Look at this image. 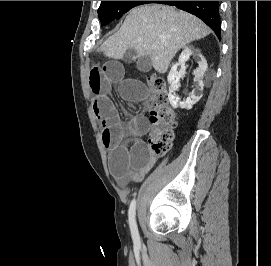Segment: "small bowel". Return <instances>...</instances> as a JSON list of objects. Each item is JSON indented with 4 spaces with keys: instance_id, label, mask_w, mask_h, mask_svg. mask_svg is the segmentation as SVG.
<instances>
[{
    "instance_id": "1",
    "label": "small bowel",
    "mask_w": 271,
    "mask_h": 266,
    "mask_svg": "<svg viewBox=\"0 0 271 266\" xmlns=\"http://www.w3.org/2000/svg\"><path fill=\"white\" fill-rule=\"evenodd\" d=\"M114 85L123 99L132 102L144 100L148 92L141 82L125 78L124 66L119 61L110 60L90 70L92 110L100 122L102 142L109 150L110 171L117 183L124 186L130 180L142 181L156 160L142 140L149 129L145 115L121 121L111 98Z\"/></svg>"
}]
</instances>
